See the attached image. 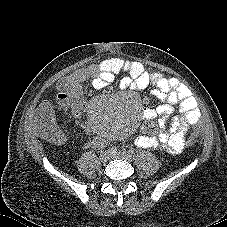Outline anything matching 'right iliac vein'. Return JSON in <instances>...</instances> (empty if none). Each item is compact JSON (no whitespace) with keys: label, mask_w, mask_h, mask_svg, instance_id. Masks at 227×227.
<instances>
[{"label":"right iliac vein","mask_w":227,"mask_h":227,"mask_svg":"<svg viewBox=\"0 0 227 227\" xmlns=\"http://www.w3.org/2000/svg\"><path fill=\"white\" fill-rule=\"evenodd\" d=\"M110 159V154L108 151H103L101 152L100 156H99V160L102 163H106L108 160Z\"/></svg>","instance_id":"right-iliac-vein-1"}]
</instances>
